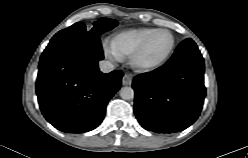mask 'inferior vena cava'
Here are the masks:
<instances>
[{"label": "inferior vena cava", "instance_id": "1", "mask_svg": "<svg viewBox=\"0 0 248 158\" xmlns=\"http://www.w3.org/2000/svg\"><path fill=\"white\" fill-rule=\"evenodd\" d=\"M99 68H100L101 72L109 73V72H112L114 70V65L112 62H110L108 60H102L99 63Z\"/></svg>", "mask_w": 248, "mask_h": 158}]
</instances>
